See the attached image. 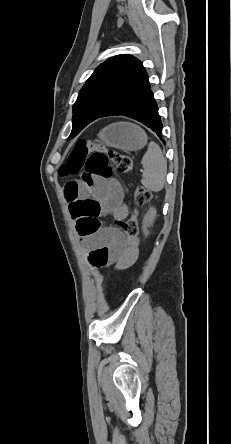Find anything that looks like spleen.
I'll use <instances>...</instances> for the list:
<instances>
[{"label":"spleen","instance_id":"obj_1","mask_svg":"<svg viewBox=\"0 0 231 444\" xmlns=\"http://www.w3.org/2000/svg\"><path fill=\"white\" fill-rule=\"evenodd\" d=\"M141 164L144 167L142 185L153 192L162 190L166 181L167 162L158 144H149Z\"/></svg>","mask_w":231,"mask_h":444}]
</instances>
